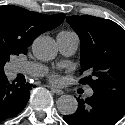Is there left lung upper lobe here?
<instances>
[{
    "label": "left lung upper lobe",
    "mask_w": 125,
    "mask_h": 125,
    "mask_svg": "<svg viewBox=\"0 0 125 125\" xmlns=\"http://www.w3.org/2000/svg\"><path fill=\"white\" fill-rule=\"evenodd\" d=\"M81 40L80 80L96 88L125 90V31L115 22L94 16H68Z\"/></svg>",
    "instance_id": "obj_1"
}]
</instances>
